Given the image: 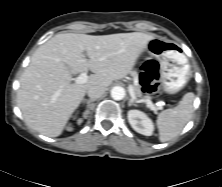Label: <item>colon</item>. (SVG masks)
Returning <instances> with one entry per match:
<instances>
[{
  "label": "colon",
  "instance_id": "obj_1",
  "mask_svg": "<svg viewBox=\"0 0 222 187\" xmlns=\"http://www.w3.org/2000/svg\"><path fill=\"white\" fill-rule=\"evenodd\" d=\"M159 76L158 66L153 61H147L143 68L142 86L143 89L151 94H157L159 91L156 80Z\"/></svg>",
  "mask_w": 222,
  "mask_h": 187
}]
</instances>
